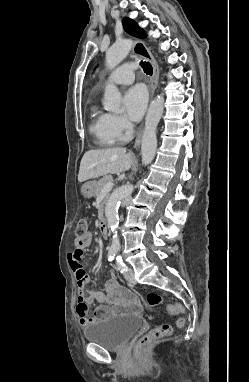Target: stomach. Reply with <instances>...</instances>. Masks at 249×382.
<instances>
[{
	"label": "stomach",
	"mask_w": 249,
	"mask_h": 382,
	"mask_svg": "<svg viewBox=\"0 0 249 382\" xmlns=\"http://www.w3.org/2000/svg\"><path fill=\"white\" fill-rule=\"evenodd\" d=\"M96 185L94 181L86 182L81 188L83 196L91 198L95 194Z\"/></svg>",
	"instance_id": "1"
}]
</instances>
